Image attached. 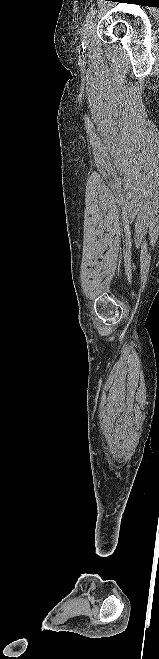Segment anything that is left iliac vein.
<instances>
[{"label": "left iliac vein", "instance_id": "obj_1", "mask_svg": "<svg viewBox=\"0 0 159 659\" xmlns=\"http://www.w3.org/2000/svg\"><path fill=\"white\" fill-rule=\"evenodd\" d=\"M95 25H96V23H95V20L93 18L86 23V25L84 27V30H83V41H84V43H86V44L89 43L91 35H92V33L95 29Z\"/></svg>", "mask_w": 159, "mask_h": 659}]
</instances>
